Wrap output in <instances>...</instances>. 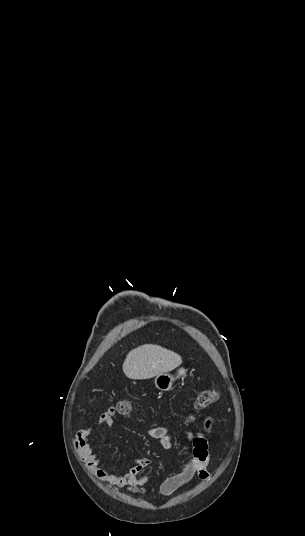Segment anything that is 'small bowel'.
Segmentation results:
<instances>
[{"label":"small bowel","instance_id":"obj_1","mask_svg":"<svg viewBox=\"0 0 305 536\" xmlns=\"http://www.w3.org/2000/svg\"><path fill=\"white\" fill-rule=\"evenodd\" d=\"M116 411L109 407L101 413V420L106 427H109L114 420ZM90 430V427H87ZM213 430V420L211 417H205L202 429L193 432L185 431V436L190 445V454L186 465L182 470L167 478L160 486V492L163 496H171L181 486L189 482L193 477L200 480H206L209 477L207 470L209 461V442ZM148 436L151 439L158 440L160 445L170 450L174 447L173 440L165 426L153 427L148 430ZM78 444L81 451L82 459L95 479L107 482L111 485L126 488L134 494H143L145 485L148 481V475L142 472L150 465V460L146 457L132 460V466L124 471L110 473L102 468L101 457L93 450L90 438V432L81 431L78 434Z\"/></svg>","mask_w":305,"mask_h":536}]
</instances>
